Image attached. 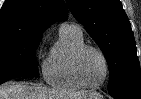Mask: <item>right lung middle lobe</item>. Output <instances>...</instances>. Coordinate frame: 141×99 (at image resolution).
I'll return each instance as SVG.
<instances>
[{
	"mask_svg": "<svg viewBox=\"0 0 141 99\" xmlns=\"http://www.w3.org/2000/svg\"><path fill=\"white\" fill-rule=\"evenodd\" d=\"M41 38L24 33H0V83L39 75L35 50Z\"/></svg>",
	"mask_w": 141,
	"mask_h": 99,
	"instance_id": "right-lung-middle-lobe-1",
	"label": "right lung middle lobe"
}]
</instances>
